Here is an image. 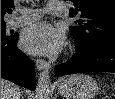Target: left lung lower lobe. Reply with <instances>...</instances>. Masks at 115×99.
Segmentation results:
<instances>
[{
	"mask_svg": "<svg viewBox=\"0 0 115 99\" xmlns=\"http://www.w3.org/2000/svg\"><path fill=\"white\" fill-rule=\"evenodd\" d=\"M82 72L115 73V44L106 43L76 53L55 67L57 77Z\"/></svg>",
	"mask_w": 115,
	"mask_h": 99,
	"instance_id": "0a47b994",
	"label": "left lung lower lobe"
}]
</instances>
